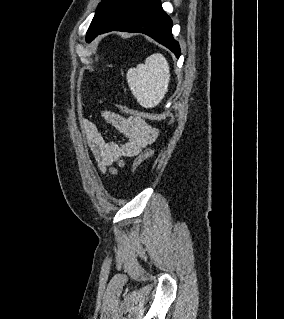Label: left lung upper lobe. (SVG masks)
Masks as SVG:
<instances>
[{
	"label": "left lung upper lobe",
	"instance_id": "5c2ea615",
	"mask_svg": "<svg viewBox=\"0 0 284 319\" xmlns=\"http://www.w3.org/2000/svg\"><path fill=\"white\" fill-rule=\"evenodd\" d=\"M124 0H102L87 31L86 41L91 42L117 12Z\"/></svg>",
	"mask_w": 284,
	"mask_h": 319
}]
</instances>
